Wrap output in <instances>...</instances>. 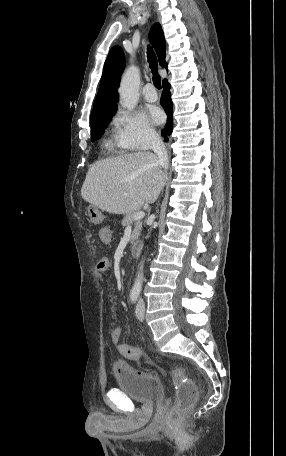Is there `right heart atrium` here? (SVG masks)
<instances>
[{
  "label": "right heart atrium",
  "instance_id": "1",
  "mask_svg": "<svg viewBox=\"0 0 286 456\" xmlns=\"http://www.w3.org/2000/svg\"><path fill=\"white\" fill-rule=\"evenodd\" d=\"M113 122L117 137L129 149L146 150L158 139L154 127L140 113L120 109Z\"/></svg>",
  "mask_w": 286,
  "mask_h": 456
}]
</instances>
